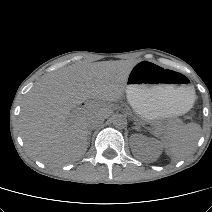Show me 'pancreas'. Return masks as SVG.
Here are the masks:
<instances>
[{
    "label": "pancreas",
    "instance_id": "obj_1",
    "mask_svg": "<svg viewBox=\"0 0 212 212\" xmlns=\"http://www.w3.org/2000/svg\"><path fill=\"white\" fill-rule=\"evenodd\" d=\"M168 130H169V131H173L174 128H173V127H168Z\"/></svg>",
    "mask_w": 212,
    "mask_h": 212
}]
</instances>
